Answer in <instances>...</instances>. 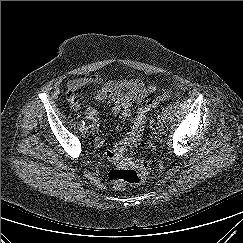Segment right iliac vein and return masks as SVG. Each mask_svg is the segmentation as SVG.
Masks as SVG:
<instances>
[{
    "mask_svg": "<svg viewBox=\"0 0 243 243\" xmlns=\"http://www.w3.org/2000/svg\"><path fill=\"white\" fill-rule=\"evenodd\" d=\"M80 132L82 134H87L88 133V128L86 126H82V127H80Z\"/></svg>",
    "mask_w": 243,
    "mask_h": 243,
    "instance_id": "1",
    "label": "right iliac vein"
}]
</instances>
